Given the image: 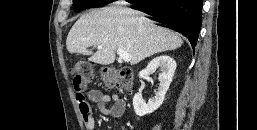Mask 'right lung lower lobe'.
I'll return each mask as SVG.
<instances>
[{
  "instance_id": "1",
  "label": "right lung lower lobe",
  "mask_w": 257,
  "mask_h": 130,
  "mask_svg": "<svg viewBox=\"0 0 257 130\" xmlns=\"http://www.w3.org/2000/svg\"><path fill=\"white\" fill-rule=\"evenodd\" d=\"M202 5L203 0H165L142 5L143 9L138 10L151 15L149 18L162 26L185 35L195 48L202 24Z\"/></svg>"
}]
</instances>
